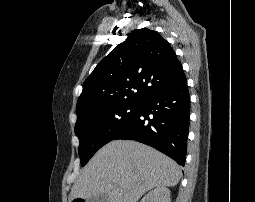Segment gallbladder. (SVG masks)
<instances>
[{
    "mask_svg": "<svg viewBox=\"0 0 255 202\" xmlns=\"http://www.w3.org/2000/svg\"><path fill=\"white\" fill-rule=\"evenodd\" d=\"M87 202H108L105 194H99L91 197Z\"/></svg>",
    "mask_w": 255,
    "mask_h": 202,
    "instance_id": "bac80fb5",
    "label": "gallbladder"
}]
</instances>
